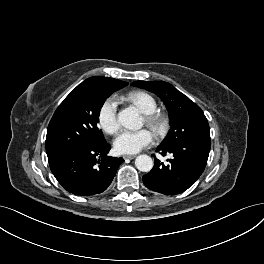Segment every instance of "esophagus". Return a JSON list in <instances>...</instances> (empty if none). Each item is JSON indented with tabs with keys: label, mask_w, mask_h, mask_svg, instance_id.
Returning a JSON list of instances; mask_svg holds the SVG:
<instances>
[{
	"label": "esophagus",
	"mask_w": 264,
	"mask_h": 264,
	"mask_svg": "<svg viewBox=\"0 0 264 264\" xmlns=\"http://www.w3.org/2000/svg\"><path fill=\"white\" fill-rule=\"evenodd\" d=\"M136 157V155H124L123 158L124 159H134Z\"/></svg>",
	"instance_id": "34e87169"
}]
</instances>
